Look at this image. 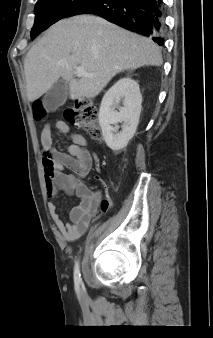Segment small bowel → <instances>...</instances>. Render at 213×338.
<instances>
[{"label":"small bowel","mask_w":213,"mask_h":338,"mask_svg":"<svg viewBox=\"0 0 213 338\" xmlns=\"http://www.w3.org/2000/svg\"><path fill=\"white\" fill-rule=\"evenodd\" d=\"M55 130L62 136H68L71 143L67 147V153L57 151L53 146V134L50 124L44 125L41 132L42 143V168L45 190L49 198H54L60 191L70 196H75L79 204L70 212V221L65 222L57 213L55 203L48 206L51 218L56 228L67 241L79 239L88 228L89 224L99 218L97 208L103 200L99 190L90 189L82 178L86 177L92 169L93 162L97 159L86 148V139L80 133H70L68 125L58 121L54 125ZM49 163H52L54 171L49 172ZM70 169L73 174L63 173ZM110 205L111 201L109 200Z\"/></svg>","instance_id":"c3829d8e"}]
</instances>
